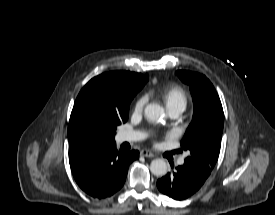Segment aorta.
<instances>
[{"mask_svg": "<svg viewBox=\"0 0 275 215\" xmlns=\"http://www.w3.org/2000/svg\"><path fill=\"white\" fill-rule=\"evenodd\" d=\"M147 120L152 122L162 121L165 117V110L158 104H148L144 110ZM150 171L157 177H162L167 173V163L163 159H155L150 164Z\"/></svg>", "mask_w": 275, "mask_h": 215, "instance_id": "1", "label": "aorta"}]
</instances>
